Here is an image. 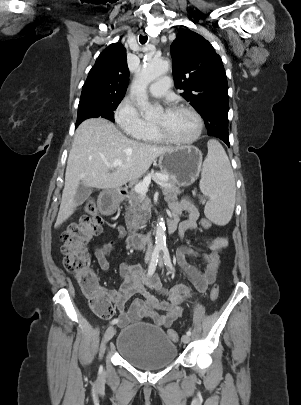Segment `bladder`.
<instances>
[{
  "mask_svg": "<svg viewBox=\"0 0 301 405\" xmlns=\"http://www.w3.org/2000/svg\"><path fill=\"white\" fill-rule=\"evenodd\" d=\"M116 351L143 370L165 368L177 357V346L164 330L146 322L123 328L116 340Z\"/></svg>",
  "mask_w": 301,
  "mask_h": 405,
  "instance_id": "bladder-1",
  "label": "bladder"
}]
</instances>
